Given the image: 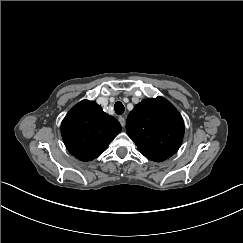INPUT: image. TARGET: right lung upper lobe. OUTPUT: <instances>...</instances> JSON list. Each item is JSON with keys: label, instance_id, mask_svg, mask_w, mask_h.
<instances>
[{"label": "right lung upper lobe", "instance_id": "1", "mask_svg": "<svg viewBox=\"0 0 243 243\" xmlns=\"http://www.w3.org/2000/svg\"><path fill=\"white\" fill-rule=\"evenodd\" d=\"M120 131L116 118L106 114L95 101L88 100L76 104L61 124L65 146L81 161L101 155Z\"/></svg>", "mask_w": 243, "mask_h": 243}]
</instances>
